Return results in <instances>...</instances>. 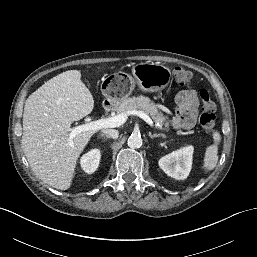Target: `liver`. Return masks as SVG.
Segmentation results:
<instances>
[{
	"label": "liver",
	"mask_w": 257,
	"mask_h": 257,
	"mask_svg": "<svg viewBox=\"0 0 257 257\" xmlns=\"http://www.w3.org/2000/svg\"><path fill=\"white\" fill-rule=\"evenodd\" d=\"M93 108L92 94L78 70L51 78L27 98L21 146L32 171L44 183L60 190L70 188L78 158L95 131L70 139L68 128Z\"/></svg>",
	"instance_id": "6515ba94"
}]
</instances>
